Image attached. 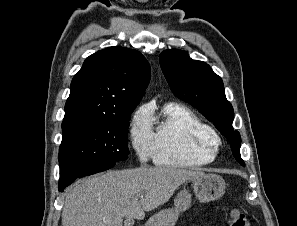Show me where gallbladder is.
Listing matches in <instances>:
<instances>
[{
    "label": "gallbladder",
    "mask_w": 297,
    "mask_h": 226,
    "mask_svg": "<svg viewBox=\"0 0 297 226\" xmlns=\"http://www.w3.org/2000/svg\"><path fill=\"white\" fill-rule=\"evenodd\" d=\"M133 223H134V221L132 220V219H127L126 220V223H125V226L127 225V224H129V225H133Z\"/></svg>",
    "instance_id": "1"
}]
</instances>
